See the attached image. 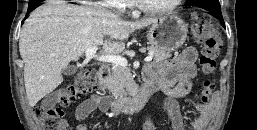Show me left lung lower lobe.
Instances as JSON below:
<instances>
[{"instance_id":"0a47b994","label":"left lung lower lobe","mask_w":257,"mask_h":130,"mask_svg":"<svg viewBox=\"0 0 257 130\" xmlns=\"http://www.w3.org/2000/svg\"><path fill=\"white\" fill-rule=\"evenodd\" d=\"M205 9L208 10L211 15L218 18L222 22V25L225 27V23L221 13V7H207Z\"/></svg>"}]
</instances>
